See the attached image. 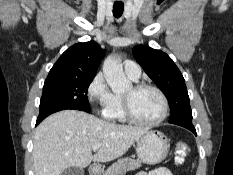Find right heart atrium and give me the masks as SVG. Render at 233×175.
<instances>
[{"label": "right heart atrium", "mask_w": 233, "mask_h": 175, "mask_svg": "<svg viewBox=\"0 0 233 175\" xmlns=\"http://www.w3.org/2000/svg\"><path fill=\"white\" fill-rule=\"evenodd\" d=\"M89 101L98 109L104 110L113 100L111 92L104 76L97 74L87 87Z\"/></svg>", "instance_id": "right-heart-atrium-1"}]
</instances>
